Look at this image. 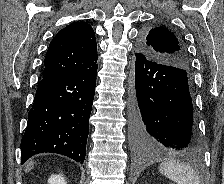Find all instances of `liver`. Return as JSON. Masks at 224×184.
Instances as JSON below:
<instances>
[{"label":"liver","mask_w":224,"mask_h":184,"mask_svg":"<svg viewBox=\"0 0 224 184\" xmlns=\"http://www.w3.org/2000/svg\"><path fill=\"white\" fill-rule=\"evenodd\" d=\"M33 167H34V162H32V161L27 162L26 166H25V171L29 172L31 169H33Z\"/></svg>","instance_id":"liver-1"}]
</instances>
